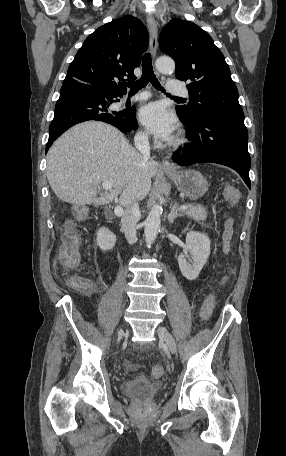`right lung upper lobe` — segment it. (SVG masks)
Here are the masks:
<instances>
[{"instance_id": "right-lung-upper-lobe-1", "label": "right lung upper lobe", "mask_w": 286, "mask_h": 456, "mask_svg": "<svg viewBox=\"0 0 286 456\" xmlns=\"http://www.w3.org/2000/svg\"><path fill=\"white\" fill-rule=\"evenodd\" d=\"M149 35L143 23L124 16L89 35L70 64L63 83L76 82L115 98L126 93L124 77L135 79L147 49Z\"/></svg>"}]
</instances>
